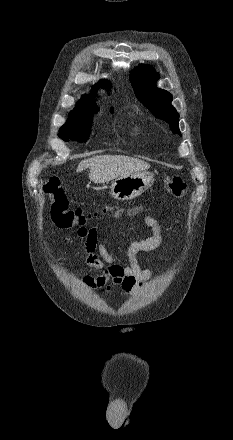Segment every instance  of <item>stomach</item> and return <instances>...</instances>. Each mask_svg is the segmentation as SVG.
<instances>
[{
  "instance_id": "0dacf381",
  "label": "stomach",
  "mask_w": 233,
  "mask_h": 440,
  "mask_svg": "<svg viewBox=\"0 0 233 440\" xmlns=\"http://www.w3.org/2000/svg\"><path fill=\"white\" fill-rule=\"evenodd\" d=\"M153 183L154 175L149 172L132 173L113 181L110 186V194L116 200H131L140 196Z\"/></svg>"
}]
</instances>
